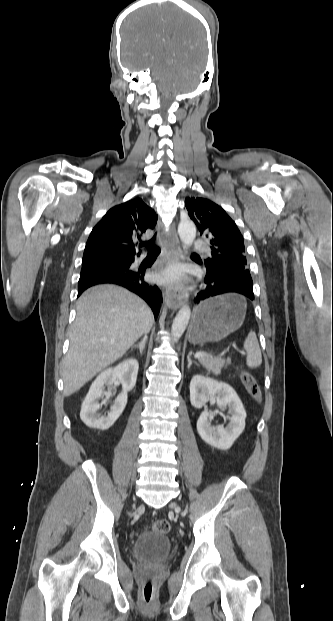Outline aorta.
Returning <instances> with one entry per match:
<instances>
[{
    "instance_id": "1",
    "label": "aorta",
    "mask_w": 333,
    "mask_h": 621,
    "mask_svg": "<svg viewBox=\"0 0 333 621\" xmlns=\"http://www.w3.org/2000/svg\"><path fill=\"white\" fill-rule=\"evenodd\" d=\"M178 233L184 248L189 247L195 240L196 226L192 221L182 220L178 226ZM190 313L189 305H184L178 311L172 324L173 341H177L183 335L190 319Z\"/></svg>"
}]
</instances>
